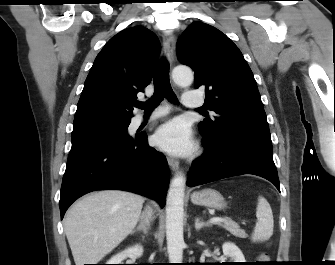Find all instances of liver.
Wrapping results in <instances>:
<instances>
[{"label":"liver","instance_id":"6515ba94","mask_svg":"<svg viewBox=\"0 0 335 265\" xmlns=\"http://www.w3.org/2000/svg\"><path fill=\"white\" fill-rule=\"evenodd\" d=\"M144 199L104 190L77 201L66 213L64 231L76 265L97 264L135 228Z\"/></svg>","mask_w":335,"mask_h":265}]
</instances>
